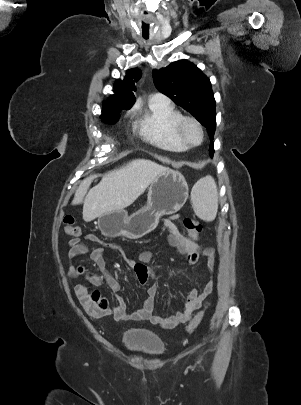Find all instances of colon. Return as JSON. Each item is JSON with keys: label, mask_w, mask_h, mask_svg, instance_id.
<instances>
[{"label": "colon", "mask_w": 301, "mask_h": 405, "mask_svg": "<svg viewBox=\"0 0 301 405\" xmlns=\"http://www.w3.org/2000/svg\"><path fill=\"white\" fill-rule=\"evenodd\" d=\"M64 229L68 235L71 236H79L81 234V229L76 223V219L73 215H66L63 219ZM183 226L188 231L190 237L193 238L194 242H199L200 238L198 235L202 231L203 225L199 220L192 219V218H185L183 220ZM82 305L85 311L89 314V316L93 319H98L105 315L108 311V302L107 300L101 296L99 291L92 290L88 291L84 298L82 299ZM208 304L205 305V309L207 308ZM205 309L199 311L190 323L187 326V332L191 333L196 329V327L200 324L204 317Z\"/></svg>", "instance_id": "5ec220e1"}]
</instances>
